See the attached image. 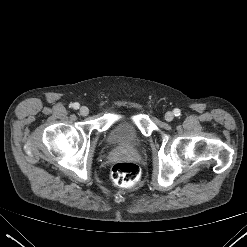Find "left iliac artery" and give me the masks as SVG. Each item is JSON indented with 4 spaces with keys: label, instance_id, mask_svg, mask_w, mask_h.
<instances>
[{
    "label": "left iliac artery",
    "instance_id": "1",
    "mask_svg": "<svg viewBox=\"0 0 247 247\" xmlns=\"http://www.w3.org/2000/svg\"><path fill=\"white\" fill-rule=\"evenodd\" d=\"M174 115L175 116H179L180 114H181V111H180V109H178V108H176V109H174Z\"/></svg>",
    "mask_w": 247,
    "mask_h": 247
}]
</instances>
